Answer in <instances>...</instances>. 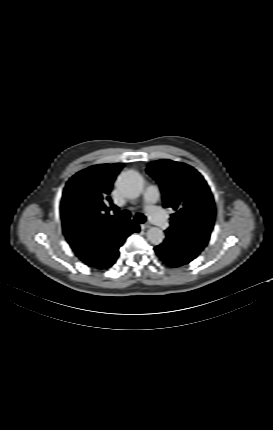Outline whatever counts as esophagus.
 <instances>
[{
	"instance_id": "obj_1",
	"label": "esophagus",
	"mask_w": 273,
	"mask_h": 430,
	"mask_svg": "<svg viewBox=\"0 0 273 430\" xmlns=\"http://www.w3.org/2000/svg\"><path fill=\"white\" fill-rule=\"evenodd\" d=\"M148 228H150L149 224H141V229L142 230H145V229H148Z\"/></svg>"
}]
</instances>
